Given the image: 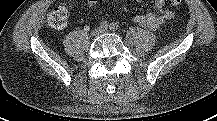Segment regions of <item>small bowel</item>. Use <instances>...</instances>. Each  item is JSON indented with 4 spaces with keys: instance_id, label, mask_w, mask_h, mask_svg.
<instances>
[{
    "instance_id": "1",
    "label": "small bowel",
    "mask_w": 217,
    "mask_h": 121,
    "mask_svg": "<svg viewBox=\"0 0 217 121\" xmlns=\"http://www.w3.org/2000/svg\"><path fill=\"white\" fill-rule=\"evenodd\" d=\"M97 0H88L89 7H93ZM142 2L144 0H136ZM156 12H148L135 17V21L150 30H156L164 22L171 20L174 17L173 11L166 7L165 0H154Z\"/></svg>"
}]
</instances>
